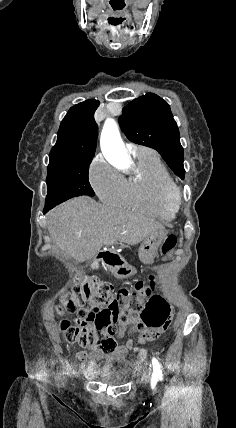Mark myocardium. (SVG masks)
<instances>
[{"label": "myocardium", "mask_w": 236, "mask_h": 428, "mask_svg": "<svg viewBox=\"0 0 236 428\" xmlns=\"http://www.w3.org/2000/svg\"><path fill=\"white\" fill-rule=\"evenodd\" d=\"M162 196L167 204L172 205L175 208L180 207L183 201L182 189L175 182L167 183L163 186Z\"/></svg>", "instance_id": "myocardium-1"}]
</instances>
